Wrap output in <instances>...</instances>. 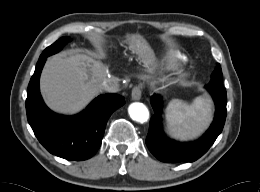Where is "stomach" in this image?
<instances>
[{
	"label": "stomach",
	"mask_w": 260,
	"mask_h": 192,
	"mask_svg": "<svg viewBox=\"0 0 260 192\" xmlns=\"http://www.w3.org/2000/svg\"><path fill=\"white\" fill-rule=\"evenodd\" d=\"M133 38L134 39L131 41L130 47L141 57L142 62L145 63L146 61L152 59L153 54L147 43L139 37ZM135 45L138 46L134 48ZM137 49L139 51H137Z\"/></svg>",
	"instance_id": "obj_1"
}]
</instances>
